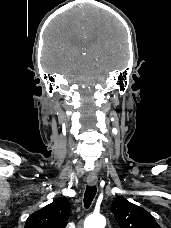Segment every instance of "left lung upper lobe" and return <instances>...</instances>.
<instances>
[{"mask_svg":"<svg viewBox=\"0 0 171 228\" xmlns=\"http://www.w3.org/2000/svg\"><path fill=\"white\" fill-rule=\"evenodd\" d=\"M111 211L121 228H160L149 212L125 198L117 197Z\"/></svg>","mask_w":171,"mask_h":228,"instance_id":"5c2ea615","label":"left lung upper lobe"}]
</instances>
